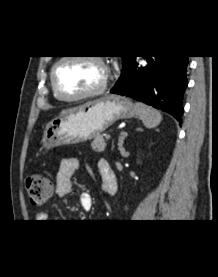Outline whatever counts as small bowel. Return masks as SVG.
<instances>
[{"label":"small bowel","instance_id":"1","mask_svg":"<svg viewBox=\"0 0 218 277\" xmlns=\"http://www.w3.org/2000/svg\"><path fill=\"white\" fill-rule=\"evenodd\" d=\"M100 163L98 165V168L100 167ZM79 165H80L79 161L76 158H64L61 161L56 175L55 193L57 196L62 197L67 195L70 192L72 187L71 180L74 173L78 170ZM99 173H100V169H99ZM101 180H102V189L105 193H111L114 191L115 183L105 184L103 182L102 176H101ZM80 204L83 207V209L90 210L93 205L92 196L87 192L81 193ZM47 218L48 216L45 212L39 211L35 214V219L37 220L36 222H44V220H46Z\"/></svg>","mask_w":218,"mask_h":277}]
</instances>
